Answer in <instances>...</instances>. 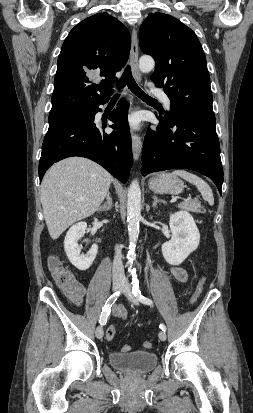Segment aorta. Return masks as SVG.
Here are the masks:
<instances>
[{"label":"aorta","instance_id":"aorta-1","mask_svg":"<svg viewBox=\"0 0 253 413\" xmlns=\"http://www.w3.org/2000/svg\"><path fill=\"white\" fill-rule=\"evenodd\" d=\"M155 67L154 59L149 55H143L139 59V69L143 73L150 72ZM141 218V190L137 180L132 181L127 195V222L130 251V262L135 258V244L139 235V222Z\"/></svg>","mask_w":253,"mask_h":413}]
</instances>
